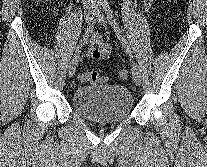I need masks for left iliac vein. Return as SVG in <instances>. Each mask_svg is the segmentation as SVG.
<instances>
[{"instance_id":"1","label":"left iliac vein","mask_w":207,"mask_h":167,"mask_svg":"<svg viewBox=\"0 0 207 167\" xmlns=\"http://www.w3.org/2000/svg\"><path fill=\"white\" fill-rule=\"evenodd\" d=\"M105 22V18L104 16L99 12V15H98V23H104ZM107 25V23H106ZM132 75H133V79H134V82L136 83V85H140L141 84V72H140V69L139 67L137 66L136 63H133L132 64Z\"/></svg>"}]
</instances>
